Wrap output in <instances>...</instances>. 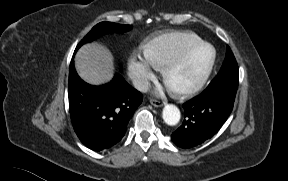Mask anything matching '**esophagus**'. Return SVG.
Returning a JSON list of instances; mask_svg holds the SVG:
<instances>
[{
  "instance_id": "obj_1",
  "label": "esophagus",
  "mask_w": 288,
  "mask_h": 181,
  "mask_svg": "<svg viewBox=\"0 0 288 181\" xmlns=\"http://www.w3.org/2000/svg\"><path fill=\"white\" fill-rule=\"evenodd\" d=\"M150 103L155 107H162L164 105V102H161V101L156 100V99H151Z\"/></svg>"
}]
</instances>
